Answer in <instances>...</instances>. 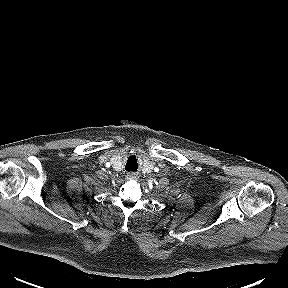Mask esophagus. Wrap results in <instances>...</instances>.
Instances as JSON below:
<instances>
[{
	"instance_id": "esophagus-1",
	"label": "esophagus",
	"mask_w": 288,
	"mask_h": 288,
	"mask_svg": "<svg viewBox=\"0 0 288 288\" xmlns=\"http://www.w3.org/2000/svg\"><path fill=\"white\" fill-rule=\"evenodd\" d=\"M136 176L137 175L135 173H128L126 175V179H128V180L136 179Z\"/></svg>"
}]
</instances>
